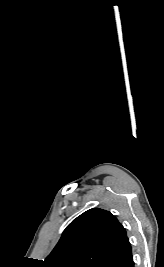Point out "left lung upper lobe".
Masks as SVG:
<instances>
[{
	"mask_svg": "<svg viewBox=\"0 0 164 267\" xmlns=\"http://www.w3.org/2000/svg\"><path fill=\"white\" fill-rule=\"evenodd\" d=\"M125 236V228L109 211L90 209L67 226L42 265L102 267Z\"/></svg>",
	"mask_w": 164,
	"mask_h": 267,
	"instance_id": "obj_1",
	"label": "left lung upper lobe"
}]
</instances>
